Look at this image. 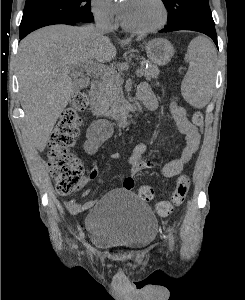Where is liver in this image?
Returning <instances> with one entry per match:
<instances>
[{"mask_svg": "<svg viewBox=\"0 0 245 300\" xmlns=\"http://www.w3.org/2000/svg\"><path fill=\"white\" fill-rule=\"evenodd\" d=\"M115 56L111 40L93 26L51 25L22 40L17 60L21 106L26 133L39 151L76 91L70 71Z\"/></svg>", "mask_w": 245, "mask_h": 300, "instance_id": "obj_1", "label": "liver"}]
</instances>
